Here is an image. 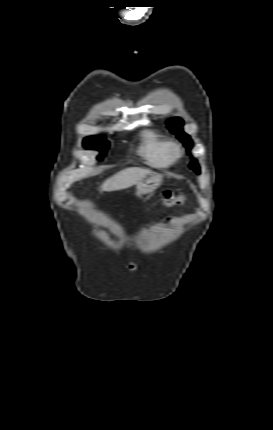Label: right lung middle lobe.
<instances>
[{
    "label": "right lung middle lobe",
    "mask_w": 273,
    "mask_h": 430,
    "mask_svg": "<svg viewBox=\"0 0 273 430\" xmlns=\"http://www.w3.org/2000/svg\"><path fill=\"white\" fill-rule=\"evenodd\" d=\"M83 145L87 149H99L98 159L101 160L106 154L109 142L103 136H91L83 141Z\"/></svg>",
    "instance_id": "right-lung-middle-lobe-1"
}]
</instances>
